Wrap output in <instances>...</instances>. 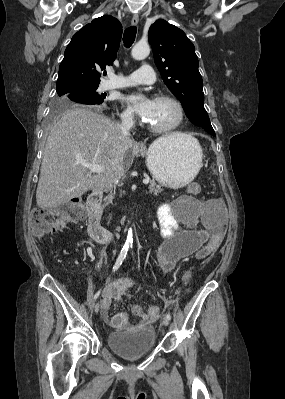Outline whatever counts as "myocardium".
Masks as SVG:
<instances>
[{
    "instance_id": "f54148a6",
    "label": "myocardium",
    "mask_w": 285,
    "mask_h": 399,
    "mask_svg": "<svg viewBox=\"0 0 285 399\" xmlns=\"http://www.w3.org/2000/svg\"><path fill=\"white\" fill-rule=\"evenodd\" d=\"M156 100H165V101H169V102L173 103L178 110L179 117H178V120L174 124L169 125V126L157 127V126L151 125L150 123L147 122V127L150 130H152L153 132H157V133H167V132L174 131L182 124V122L184 120L185 111H184V107H183L182 103L177 98H175L174 96L169 95V94H160L156 97Z\"/></svg>"
}]
</instances>
